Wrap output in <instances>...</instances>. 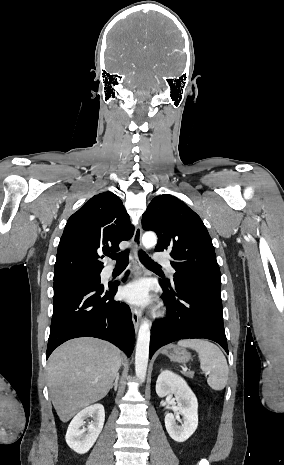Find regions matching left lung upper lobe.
<instances>
[{"label": "left lung upper lobe", "instance_id": "5c2ea615", "mask_svg": "<svg viewBox=\"0 0 284 465\" xmlns=\"http://www.w3.org/2000/svg\"><path fill=\"white\" fill-rule=\"evenodd\" d=\"M144 230L157 233L155 251H170L174 278L221 286V274L211 237L200 217L178 198L155 197L142 216Z\"/></svg>", "mask_w": 284, "mask_h": 465}]
</instances>
